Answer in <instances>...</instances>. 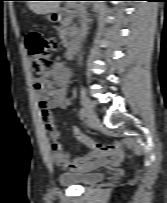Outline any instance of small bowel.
I'll use <instances>...</instances> for the list:
<instances>
[{"label": "small bowel", "mask_w": 167, "mask_h": 203, "mask_svg": "<svg viewBox=\"0 0 167 203\" xmlns=\"http://www.w3.org/2000/svg\"><path fill=\"white\" fill-rule=\"evenodd\" d=\"M71 71L69 67L57 58L53 67L33 78V87L39 93V106L43 121L50 138V149L54 163L61 169L75 172H86L106 166H116L124 158V151L120 142L109 145L100 144L82 133L74 126L75 137L84 144L89 151L83 157L70 159L69 153L63 150L59 143V133L55 127L53 111L65 109L69 105L68 88Z\"/></svg>", "instance_id": "c3829d8e"}]
</instances>
